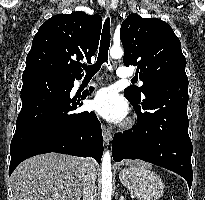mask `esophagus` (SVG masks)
Instances as JSON below:
<instances>
[{
    "label": "esophagus",
    "instance_id": "34e87169",
    "mask_svg": "<svg viewBox=\"0 0 205 200\" xmlns=\"http://www.w3.org/2000/svg\"><path fill=\"white\" fill-rule=\"evenodd\" d=\"M106 10H107V12H109L111 10L110 3L106 4ZM102 136H103L104 142L106 144H109L111 139H112V133L105 125H102Z\"/></svg>",
    "mask_w": 205,
    "mask_h": 200
}]
</instances>
